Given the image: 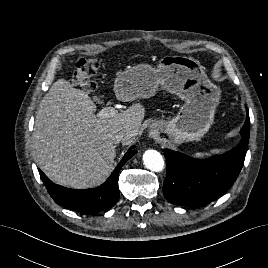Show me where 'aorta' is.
<instances>
[{"mask_svg":"<svg viewBox=\"0 0 268 268\" xmlns=\"http://www.w3.org/2000/svg\"><path fill=\"white\" fill-rule=\"evenodd\" d=\"M143 163L147 169L153 172H160L164 169V159L162 155L153 149L144 152Z\"/></svg>","mask_w":268,"mask_h":268,"instance_id":"aorta-1","label":"aorta"}]
</instances>
